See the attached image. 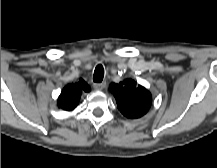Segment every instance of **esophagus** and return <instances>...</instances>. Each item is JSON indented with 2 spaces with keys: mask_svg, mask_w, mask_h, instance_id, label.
Here are the masks:
<instances>
[{
  "mask_svg": "<svg viewBox=\"0 0 217 168\" xmlns=\"http://www.w3.org/2000/svg\"><path fill=\"white\" fill-rule=\"evenodd\" d=\"M105 86H106L105 82L93 84V87L95 90H103L105 88Z\"/></svg>",
  "mask_w": 217,
  "mask_h": 168,
  "instance_id": "1",
  "label": "esophagus"
}]
</instances>
